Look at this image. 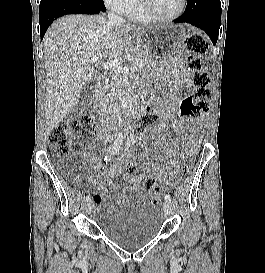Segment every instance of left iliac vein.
I'll return each mask as SVG.
<instances>
[{
    "instance_id": "1",
    "label": "left iliac vein",
    "mask_w": 265,
    "mask_h": 273,
    "mask_svg": "<svg viewBox=\"0 0 265 273\" xmlns=\"http://www.w3.org/2000/svg\"><path fill=\"white\" fill-rule=\"evenodd\" d=\"M163 211H164L165 215H169V214L171 213V211H172V206H171L170 202H167V201H166V202L163 204Z\"/></svg>"
}]
</instances>
